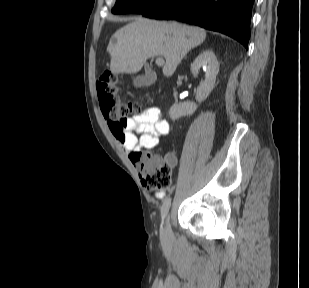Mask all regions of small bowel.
Returning <instances> with one entry per match:
<instances>
[{
  "mask_svg": "<svg viewBox=\"0 0 309 288\" xmlns=\"http://www.w3.org/2000/svg\"><path fill=\"white\" fill-rule=\"evenodd\" d=\"M108 124L121 147L131 156L142 148L156 147L160 138L170 131L169 121L161 117V110L157 107H151L124 122H108ZM168 157L172 165H176V157L173 154H169ZM156 197L162 198L163 194H157Z\"/></svg>",
  "mask_w": 309,
  "mask_h": 288,
  "instance_id": "obj_1",
  "label": "small bowel"
}]
</instances>
